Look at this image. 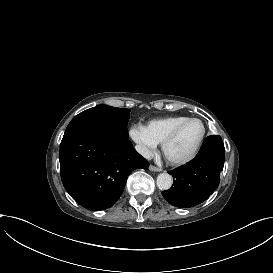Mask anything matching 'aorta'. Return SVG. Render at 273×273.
<instances>
[{
	"mask_svg": "<svg viewBox=\"0 0 273 273\" xmlns=\"http://www.w3.org/2000/svg\"><path fill=\"white\" fill-rule=\"evenodd\" d=\"M156 184L160 190L170 189L173 184L171 175H169L168 173H160L157 176Z\"/></svg>",
	"mask_w": 273,
	"mask_h": 273,
	"instance_id": "762f6f07",
	"label": "aorta"
}]
</instances>
